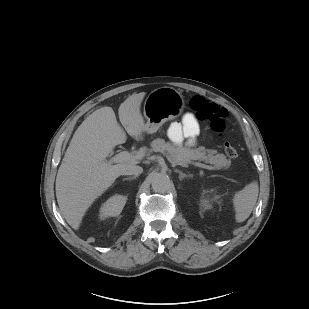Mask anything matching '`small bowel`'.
Instances as JSON below:
<instances>
[{
  "label": "small bowel",
  "mask_w": 309,
  "mask_h": 309,
  "mask_svg": "<svg viewBox=\"0 0 309 309\" xmlns=\"http://www.w3.org/2000/svg\"><path fill=\"white\" fill-rule=\"evenodd\" d=\"M198 131V123L190 113H186L181 122H175L169 127L170 138L177 144L181 143L183 136L187 137L190 143H192Z\"/></svg>",
  "instance_id": "obj_1"
}]
</instances>
